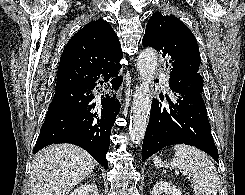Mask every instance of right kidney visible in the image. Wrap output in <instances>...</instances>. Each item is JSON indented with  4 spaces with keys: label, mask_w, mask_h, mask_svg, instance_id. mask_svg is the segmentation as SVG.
I'll list each match as a JSON object with an SVG mask.
<instances>
[{
    "label": "right kidney",
    "mask_w": 245,
    "mask_h": 195,
    "mask_svg": "<svg viewBox=\"0 0 245 195\" xmlns=\"http://www.w3.org/2000/svg\"><path fill=\"white\" fill-rule=\"evenodd\" d=\"M69 195H99L96 184H84L74 189Z\"/></svg>",
    "instance_id": "1"
}]
</instances>
